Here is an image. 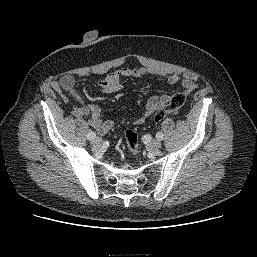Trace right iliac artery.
Segmentation results:
<instances>
[{
  "mask_svg": "<svg viewBox=\"0 0 257 257\" xmlns=\"http://www.w3.org/2000/svg\"><path fill=\"white\" fill-rule=\"evenodd\" d=\"M87 139L92 141L96 138V133L94 131H89L86 135Z\"/></svg>",
  "mask_w": 257,
  "mask_h": 257,
  "instance_id": "1",
  "label": "right iliac artery"
}]
</instances>
